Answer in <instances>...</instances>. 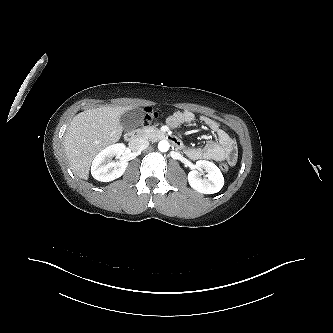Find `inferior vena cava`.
I'll return each instance as SVG.
<instances>
[{"label":"inferior vena cava","mask_w":333,"mask_h":333,"mask_svg":"<svg viewBox=\"0 0 333 333\" xmlns=\"http://www.w3.org/2000/svg\"><path fill=\"white\" fill-rule=\"evenodd\" d=\"M149 146V141L144 138H136L131 140L130 148L134 151H141Z\"/></svg>","instance_id":"602c4592"}]
</instances>
